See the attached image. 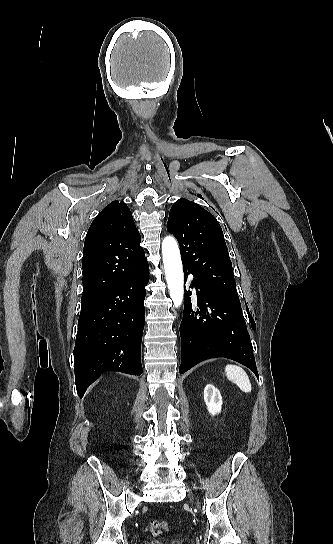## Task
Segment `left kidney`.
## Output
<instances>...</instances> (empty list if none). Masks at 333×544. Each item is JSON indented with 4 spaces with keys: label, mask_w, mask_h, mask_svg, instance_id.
Instances as JSON below:
<instances>
[{
    "label": "left kidney",
    "mask_w": 333,
    "mask_h": 544,
    "mask_svg": "<svg viewBox=\"0 0 333 544\" xmlns=\"http://www.w3.org/2000/svg\"><path fill=\"white\" fill-rule=\"evenodd\" d=\"M204 401L208 412L214 416L221 412L222 396L220 391L212 384H208L204 389Z\"/></svg>",
    "instance_id": "1"
}]
</instances>
